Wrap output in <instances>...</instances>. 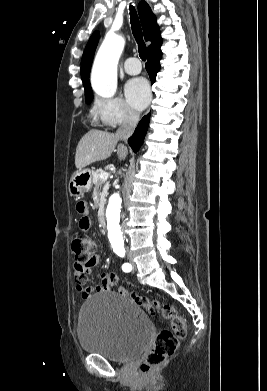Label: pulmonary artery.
<instances>
[{
	"mask_svg": "<svg viewBox=\"0 0 267 391\" xmlns=\"http://www.w3.org/2000/svg\"><path fill=\"white\" fill-rule=\"evenodd\" d=\"M124 70L130 75H136L141 72V63L138 58L130 57L124 63Z\"/></svg>",
	"mask_w": 267,
	"mask_h": 391,
	"instance_id": "pulmonary-artery-1",
	"label": "pulmonary artery"
}]
</instances>
